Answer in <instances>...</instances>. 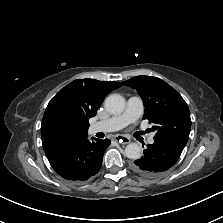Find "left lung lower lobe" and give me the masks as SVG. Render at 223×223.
<instances>
[{"instance_id": "0a47b994", "label": "left lung lower lobe", "mask_w": 223, "mask_h": 223, "mask_svg": "<svg viewBox=\"0 0 223 223\" xmlns=\"http://www.w3.org/2000/svg\"><path fill=\"white\" fill-rule=\"evenodd\" d=\"M184 147L185 145L173 140L154 139L153 144L147 145L144 155L134 161L132 169L145 177L159 175L177 162Z\"/></svg>"}]
</instances>
